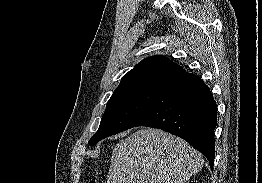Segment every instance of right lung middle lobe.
<instances>
[{"label":"right lung middle lobe","mask_w":262,"mask_h":183,"mask_svg":"<svg viewBox=\"0 0 262 183\" xmlns=\"http://www.w3.org/2000/svg\"><path fill=\"white\" fill-rule=\"evenodd\" d=\"M158 91L138 90L114 93L107 103L98 131L89 140V145H94L100 140L117 134L138 115L153 99Z\"/></svg>","instance_id":"dd1d6c3e"}]
</instances>
